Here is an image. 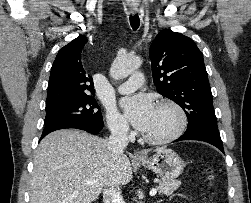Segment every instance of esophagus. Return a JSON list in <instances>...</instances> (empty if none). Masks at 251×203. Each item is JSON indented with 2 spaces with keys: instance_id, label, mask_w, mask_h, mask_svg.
<instances>
[{
  "instance_id": "obj_1",
  "label": "esophagus",
  "mask_w": 251,
  "mask_h": 203,
  "mask_svg": "<svg viewBox=\"0 0 251 203\" xmlns=\"http://www.w3.org/2000/svg\"><path fill=\"white\" fill-rule=\"evenodd\" d=\"M136 11H137L136 9H132L131 13L135 14ZM143 157H144V155L140 151H135L133 154L134 159H142Z\"/></svg>"
}]
</instances>
